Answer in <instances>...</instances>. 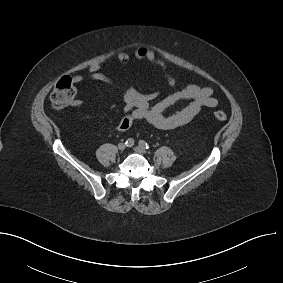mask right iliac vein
Returning a JSON list of instances; mask_svg holds the SVG:
<instances>
[{"instance_id": "1", "label": "right iliac vein", "mask_w": 283, "mask_h": 283, "mask_svg": "<svg viewBox=\"0 0 283 283\" xmlns=\"http://www.w3.org/2000/svg\"><path fill=\"white\" fill-rule=\"evenodd\" d=\"M125 148H126L125 143H119V144H118V149H119L120 151L125 150Z\"/></svg>"}]
</instances>
